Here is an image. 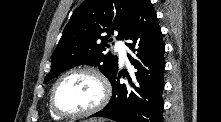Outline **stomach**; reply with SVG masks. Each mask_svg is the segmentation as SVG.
Segmentation results:
<instances>
[{"label":"stomach","mask_w":221,"mask_h":122,"mask_svg":"<svg viewBox=\"0 0 221 122\" xmlns=\"http://www.w3.org/2000/svg\"><path fill=\"white\" fill-rule=\"evenodd\" d=\"M83 122H107V120L106 119L91 118V119L85 120Z\"/></svg>","instance_id":"obj_1"}]
</instances>
